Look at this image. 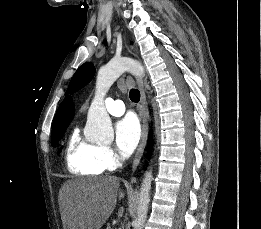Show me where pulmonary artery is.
<instances>
[{
    "label": "pulmonary artery",
    "instance_id": "e3ab8cb5",
    "mask_svg": "<svg viewBox=\"0 0 261 229\" xmlns=\"http://www.w3.org/2000/svg\"><path fill=\"white\" fill-rule=\"evenodd\" d=\"M106 109L113 116H120L124 113V105L121 101L108 100Z\"/></svg>",
    "mask_w": 261,
    "mask_h": 229
}]
</instances>
